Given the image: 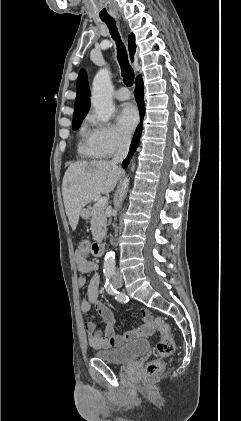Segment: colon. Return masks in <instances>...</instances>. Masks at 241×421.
<instances>
[{"label": "colon", "instance_id": "5ec220e1", "mask_svg": "<svg viewBox=\"0 0 241 421\" xmlns=\"http://www.w3.org/2000/svg\"><path fill=\"white\" fill-rule=\"evenodd\" d=\"M93 244L88 240H81L78 243L77 252L81 255L88 256L93 253ZM154 326L160 332V340L156 345L157 359L150 361L146 365L147 377H155L160 374L164 367L163 360L170 357L174 350L175 344L169 325L161 317L154 318Z\"/></svg>", "mask_w": 241, "mask_h": 421}]
</instances>
